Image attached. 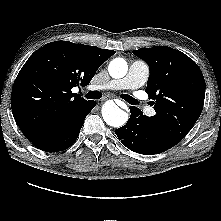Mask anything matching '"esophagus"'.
Wrapping results in <instances>:
<instances>
[{
    "label": "esophagus",
    "instance_id": "esophagus-1",
    "mask_svg": "<svg viewBox=\"0 0 221 221\" xmlns=\"http://www.w3.org/2000/svg\"><path fill=\"white\" fill-rule=\"evenodd\" d=\"M107 99H108L107 97H103L101 99V101H106ZM118 104L121 105V106H125V104L122 101H120V100H118Z\"/></svg>",
    "mask_w": 221,
    "mask_h": 221
}]
</instances>
